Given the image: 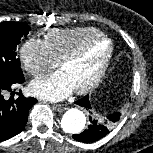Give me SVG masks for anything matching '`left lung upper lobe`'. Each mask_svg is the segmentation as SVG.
<instances>
[{"mask_svg": "<svg viewBox=\"0 0 153 153\" xmlns=\"http://www.w3.org/2000/svg\"><path fill=\"white\" fill-rule=\"evenodd\" d=\"M113 125H114V123H111V122L109 123V126H110V127H113Z\"/></svg>", "mask_w": 153, "mask_h": 153, "instance_id": "5c2ea615", "label": "left lung upper lobe"}]
</instances>
